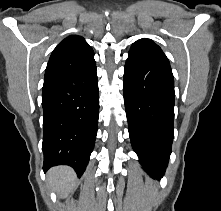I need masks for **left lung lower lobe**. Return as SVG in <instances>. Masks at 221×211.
Here are the masks:
<instances>
[{"mask_svg": "<svg viewBox=\"0 0 221 211\" xmlns=\"http://www.w3.org/2000/svg\"><path fill=\"white\" fill-rule=\"evenodd\" d=\"M129 135L143 169L160 179L174 136V79L170 64L129 53L123 80Z\"/></svg>", "mask_w": 221, "mask_h": 211, "instance_id": "1", "label": "left lung lower lobe"}]
</instances>
